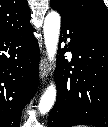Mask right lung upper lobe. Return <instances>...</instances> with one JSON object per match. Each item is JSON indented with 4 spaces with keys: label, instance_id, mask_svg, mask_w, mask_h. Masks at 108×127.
Instances as JSON below:
<instances>
[{
    "label": "right lung upper lobe",
    "instance_id": "obj_1",
    "mask_svg": "<svg viewBox=\"0 0 108 127\" xmlns=\"http://www.w3.org/2000/svg\"><path fill=\"white\" fill-rule=\"evenodd\" d=\"M30 18L27 0H0V35L15 33L31 26Z\"/></svg>",
    "mask_w": 108,
    "mask_h": 127
}]
</instances>
